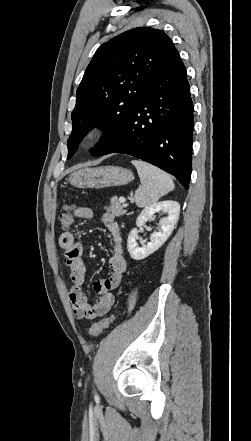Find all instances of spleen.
<instances>
[{
	"mask_svg": "<svg viewBox=\"0 0 251 441\" xmlns=\"http://www.w3.org/2000/svg\"><path fill=\"white\" fill-rule=\"evenodd\" d=\"M131 163L136 167L141 181V186L134 195L138 207L153 204L174 190V183L166 172L145 161L134 159Z\"/></svg>",
	"mask_w": 251,
	"mask_h": 441,
	"instance_id": "3e777b00",
	"label": "spleen"
}]
</instances>
